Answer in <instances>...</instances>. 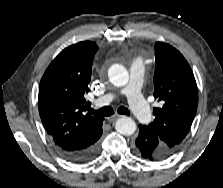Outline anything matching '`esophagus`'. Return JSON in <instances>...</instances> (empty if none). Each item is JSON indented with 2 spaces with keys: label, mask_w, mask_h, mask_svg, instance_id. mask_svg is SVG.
<instances>
[{
  "label": "esophagus",
  "mask_w": 223,
  "mask_h": 188,
  "mask_svg": "<svg viewBox=\"0 0 223 188\" xmlns=\"http://www.w3.org/2000/svg\"><path fill=\"white\" fill-rule=\"evenodd\" d=\"M120 117H123V116L116 114L114 116L107 118V120H108V122H114L117 118H120Z\"/></svg>",
  "instance_id": "esophagus-1"
}]
</instances>
